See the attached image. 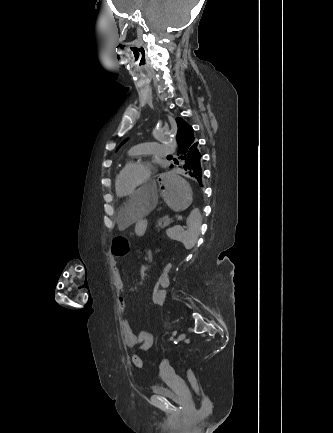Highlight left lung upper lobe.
<instances>
[{
	"label": "left lung upper lobe",
	"instance_id": "5c2ea615",
	"mask_svg": "<svg viewBox=\"0 0 333 433\" xmlns=\"http://www.w3.org/2000/svg\"><path fill=\"white\" fill-rule=\"evenodd\" d=\"M176 121L178 126L176 140L178 143L179 150H181L187 145L193 143L196 139L193 134V128L190 125H188L181 118H177Z\"/></svg>",
	"mask_w": 333,
	"mask_h": 433
}]
</instances>
